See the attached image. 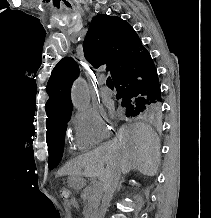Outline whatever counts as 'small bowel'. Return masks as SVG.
I'll return each mask as SVG.
<instances>
[{
    "mask_svg": "<svg viewBox=\"0 0 211 218\" xmlns=\"http://www.w3.org/2000/svg\"><path fill=\"white\" fill-rule=\"evenodd\" d=\"M65 205L66 207L71 208L77 206V202L75 200H70Z\"/></svg>",
    "mask_w": 211,
    "mask_h": 218,
    "instance_id": "small-bowel-1",
    "label": "small bowel"
}]
</instances>
